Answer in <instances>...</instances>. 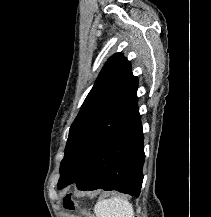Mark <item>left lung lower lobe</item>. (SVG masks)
<instances>
[{
    "label": "left lung lower lobe",
    "instance_id": "obj_1",
    "mask_svg": "<svg viewBox=\"0 0 211 217\" xmlns=\"http://www.w3.org/2000/svg\"><path fill=\"white\" fill-rule=\"evenodd\" d=\"M140 114L114 132L71 183L80 190H117L138 197L145 160Z\"/></svg>",
    "mask_w": 211,
    "mask_h": 217
}]
</instances>
